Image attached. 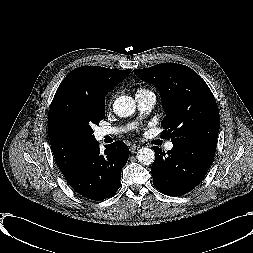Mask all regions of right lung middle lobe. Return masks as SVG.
<instances>
[{"label": "right lung middle lobe", "instance_id": "right-lung-middle-lobe-1", "mask_svg": "<svg viewBox=\"0 0 253 253\" xmlns=\"http://www.w3.org/2000/svg\"><path fill=\"white\" fill-rule=\"evenodd\" d=\"M81 107L84 113L81 129L86 136L94 139L93 129L91 128V126L93 124L98 125L99 122L104 119L105 103L94 102L90 99H83L81 101Z\"/></svg>", "mask_w": 253, "mask_h": 253}]
</instances>
